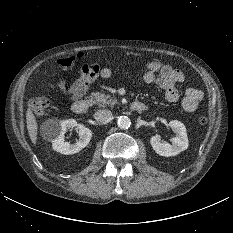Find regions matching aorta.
I'll return each mask as SVG.
<instances>
[{
  "label": "aorta",
  "mask_w": 233,
  "mask_h": 233,
  "mask_svg": "<svg viewBox=\"0 0 233 233\" xmlns=\"http://www.w3.org/2000/svg\"><path fill=\"white\" fill-rule=\"evenodd\" d=\"M117 125L121 129H128L131 125V120L127 116H120L117 120Z\"/></svg>",
  "instance_id": "762f6f07"
}]
</instances>
